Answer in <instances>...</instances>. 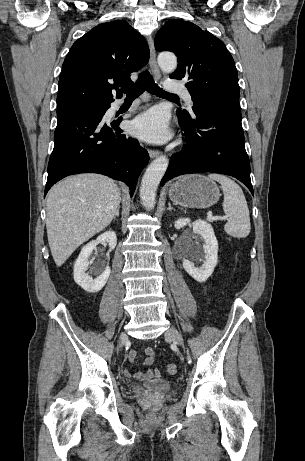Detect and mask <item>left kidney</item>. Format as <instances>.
<instances>
[{"mask_svg": "<svg viewBox=\"0 0 305 461\" xmlns=\"http://www.w3.org/2000/svg\"><path fill=\"white\" fill-rule=\"evenodd\" d=\"M190 223L191 221L189 218H182L177 220L174 226L176 229H181ZM192 226L193 233L199 234L204 239V244L201 250L197 249L194 245H186V250L188 252L186 257H191L194 253L198 252L203 258L202 265L200 267H196L193 262L186 258L182 260V265L191 277L201 283L205 282L210 277L217 265L218 242L215 237L214 230L208 222L196 220L192 223Z\"/></svg>", "mask_w": 305, "mask_h": 461, "instance_id": "left-kidney-1", "label": "left kidney"}]
</instances>
